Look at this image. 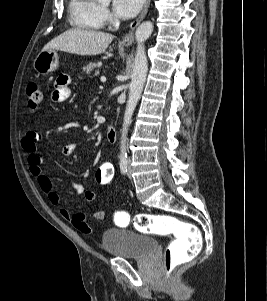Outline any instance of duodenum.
I'll list each match as a JSON object with an SVG mask.
<instances>
[{
	"instance_id": "obj_1",
	"label": "duodenum",
	"mask_w": 267,
	"mask_h": 301,
	"mask_svg": "<svg viewBox=\"0 0 267 301\" xmlns=\"http://www.w3.org/2000/svg\"><path fill=\"white\" fill-rule=\"evenodd\" d=\"M106 139L108 142H115L117 139V131L115 129V127H108L106 130Z\"/></svg>"
}]
</instances>
